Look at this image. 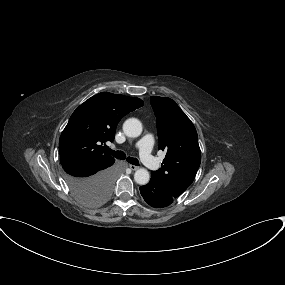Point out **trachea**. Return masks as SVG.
I'll list each match as a JSON object with an SVG mask.
<instances>
[{
  "mask_svg": "<svg viewBox=\"0 0 285 285\" xmlns=\"http://www.w3.org/2000/svg\"><path fill=\"white\" fill-rule=\"evenodd\" d=\"M113 157L120 159V160H127V162H129L132 165H139V161L136 158L133 157H127L123 151H114L112 149H110L109 147L105 148Z\"/></svg>",
  "mask_w": 285,
  "mask_h": 285,
  "instance_id": "trachea-1",
  "label": "trachea"
}]
</instances>
